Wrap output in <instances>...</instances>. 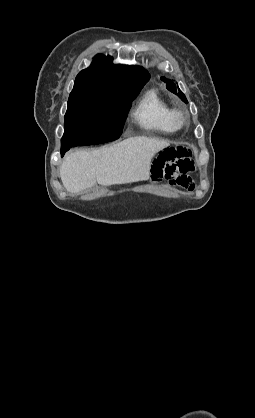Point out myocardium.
Masks as SVG:
<instances>
[{
  "mask_svg": "<svg viewBox=\"0 0 255 418\" xmlns=\"http://www.w3.org/2000/svg\"><path fill=\"white\" fill-rule=\"evenodd\" d=\"M170 120L175 129H180L186 124L187 115L182 109H172Z\"/></svg>",
  "mask_w": 255,
  "mask_h": 418,
  "instance_id": "f54148a6",
  "label": "myocardium"
}]
</instances>
